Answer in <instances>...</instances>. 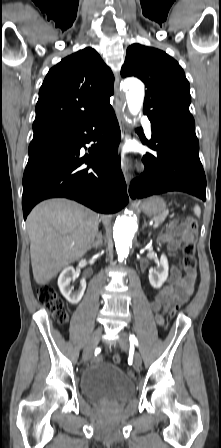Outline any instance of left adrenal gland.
Listing matches in <instances>:
<instances>
[{
	"mask_svg": "<svg viewBox=\"0 0 221 448\" xmlns=\"http://www.w3.org/2000/svg\"><path fill=\"white\" fill-rule=\"evenodd\" d=\"M145 226H147V223H146V221H144V225H143V227H145Z\"/></svg>",
	"mask_w": 221,
	"mask_h": 448,
	"instance_id": "left-adrenal-gland-1",
	"label": "left adrenal gland"
}]
</instances>
